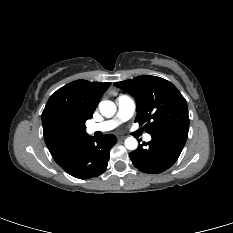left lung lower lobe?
<instances>
[{
    "instance_id": "1",
    "label": "left lung lower lobe",
    "mask_w": 233,
    "mask_h": 233,
    "mask_svg": "<svg viewBox=\"0 0 233 233\" xmlns=\"http://www.w3.org/2000/svg\"><path fill=\"white\" fill-rule=\"evenodd\" d=\"M188 132L174 131L152 135L129 154L134 166L144 173H161L170 168L178 159L186 143Z\"/></svg>"
}]
</instances>
